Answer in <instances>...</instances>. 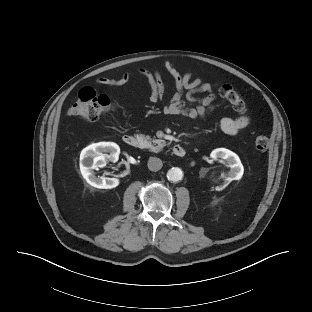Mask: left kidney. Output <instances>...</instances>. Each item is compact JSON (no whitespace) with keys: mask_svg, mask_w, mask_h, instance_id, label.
<instances>
[{"mask_svg":"<svg viewBox=\"0 0 312 312\" xmlns=\"http://www.w3.org/2000/svg\"><path fill=\"white\" fill-rule=\"evenodd\" d=\"M210 156L213 160L223 159L224 164L230 168L229 172L222 173L220 176V179L223 180V186H227L233 180L241 179L244 167L237 154L225 148H217L211 152Z\"/></svg>","mask_w":312,"mask_h":312,"instance_id":"left-kidney-1","label":"left kidney"}]
</instances>
